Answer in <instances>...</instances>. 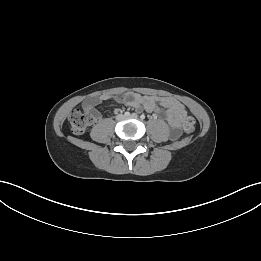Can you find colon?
<instances>
[{"instance_id":"colon-1","label":"colon","mask_w":261,"mask_h":261,"mask_svg":"<svg viewBox=\"0 0 261 261\" xmlns=\"http://www.w3.org/2000/svg\"><path fill=\"white\" fill-rule=\"evenodd\" d=\"M94 121L91 113L82 112L78 109L74 110L69 116V124L73 133L82 134ZM195 119L191 115H187L183 122L184 131L191 133L194 130Z\"/></svg>"}]
</instances>
